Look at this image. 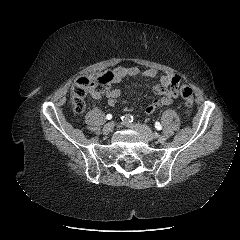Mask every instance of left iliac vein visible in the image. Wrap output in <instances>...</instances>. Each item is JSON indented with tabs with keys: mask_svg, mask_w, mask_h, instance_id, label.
<instances>
[{
	"mask_svg": "<svg viewBox=\"0 0 240 240\" xmlns=\"http://www.w3.org/2000/svg\"><path fill=\"white\" fill-rule=\"evenodd\" d=\"M132 129L138 131L141 135H143L148 141H152L156 139V135L153 131L146 125L143 124H131L129 125Z\"/></svg>",
	"mask_w": 240,
	"mask_h": 240,
	"instance_id": "1",
	"label": "left iliac vein"
}]
</instances>
